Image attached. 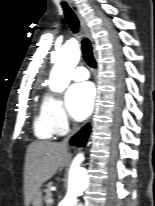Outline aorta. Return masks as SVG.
I'll use <instances>...</instances> for the list:
<instances>
[{
  "label": "aorta",
  "mask_w": 155,
  "mask_h": 206,
  "mask_svg": "<svg viewBox=\"0 0 155 206\" xmlns=\"http://www.w3.org/2000/svg\"><path fill=\"white\" fill-rule=\"evenodd\" d=\"M80 58V49L75 39L67 41L59 50L57 61L51 71L49 87L54 92L63 91L69 84L73 70ZM84 155L79 153L73 160L67 193L59 203V206H77V198L87 188V172L81 163Z\"/></svg>",
  "instance_id": "obj_1"
}]
</instances>
